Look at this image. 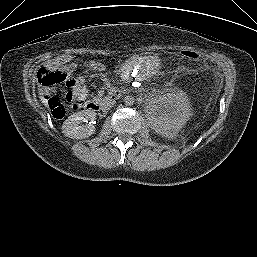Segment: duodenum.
<instances>
[{"label":"duodenum","instance_id":"obj_1","mask_svg":"<svg viewBox=\"0 0 257 257\" xmlns=\"http://www.w3.org/2000/svg\"><path fill=\"white\" fill-rule=\"evenodd\" d=\"M120 98L118 91H112L101 100H90L86 103L85 108L89 112L99 111L101 108H106L114 104Z\"/></svg>","mask_w":257,"mask_h":257}]
</instances>
